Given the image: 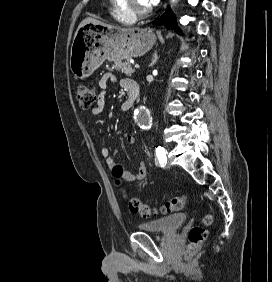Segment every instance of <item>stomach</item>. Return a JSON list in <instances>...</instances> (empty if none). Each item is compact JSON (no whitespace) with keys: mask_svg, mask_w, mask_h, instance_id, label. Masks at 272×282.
I'll return each mask as SVG.
<instances>
[{"mask_svg":"<svg viewBox=\"0 0 272 282\" xmlns=\"http://www.w3.org/2000/svg\"><path fill=\"white\" fill-rule=\"evenodd\" d=\"M155 42L151 29H118L88 23L80 27L74 37L70 68L76 79H84L105 60L118 62L142 56Z\"/></svg>","mask_w":272,"mask_h":282,"instance_id":"obj_1","label":"stomach"}]
</instances>
